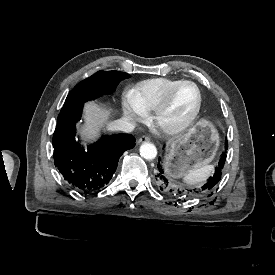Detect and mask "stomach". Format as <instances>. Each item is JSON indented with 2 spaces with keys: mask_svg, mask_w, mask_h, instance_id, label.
Listing matches in <instances>:
<instances>
[{
  "mask_svg": "<svg viewBox=\"0 0 275 275\" xmlns=\"http://www.w3.org/2000/svg\"><path fill=\"white\" fill-rule=\"evenodd\" d=\"M219 145L217 129L211 122L201 119L168 144L163 164L165 173L181 178L190 170L208 165L215 158Z\"/></svg>",
  "mask_w": 275,
  "mask_h": 275,
  "instance_id": "obj_1",
  "label": "stomach"
}]
</instances>
